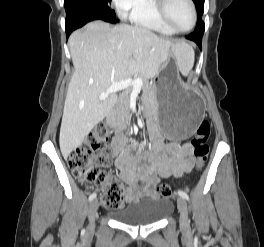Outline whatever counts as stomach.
I'll list each match as a JSON object with an SVG mask.
<instances>
[{"mask_svg":"<svg viewBox=\"0 0 264 247\" xmlns=\"http://www.w3.org/2000/svg\"><path fill=\"white\" fill-rule=\"evenodd\" d=\"M165 62H173V57H165ZM179 78L176 64L164 63L154 87L159 122L168 141H186V136H194L204 118V95L190 93Z\"/></svg>","mask_w":264,"mask_h":247,"instance_id":"1","label":"stomach"}]
</instances>
